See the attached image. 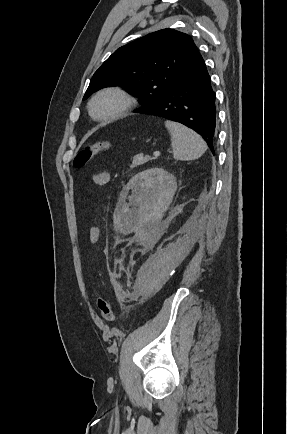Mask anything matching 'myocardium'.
Wrapping results in <instances>:
<instances>
[{
	"label": "myocardium",
	"instance_id": "1",
	"mask_svg": "<svg viewBox=\"0 0 287 434\" xmlns=\"http://www.w3.org/2000/svg\"><path fill=\"white\" fill-rule=\"evenodd\" d=\"M111 101L113 105L108 109L97 112L99 103ZM133 97L120 87H105L95 92L89 100L88 111L90 116L101 122L113 121L125 116L133 107Z\"/></svg>",
	"mask_w": 287,
	"mask_h": 434
}]
</instances>
